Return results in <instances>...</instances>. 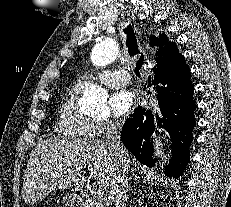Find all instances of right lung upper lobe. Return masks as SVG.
Returning <instances> with one entry per match:
<instances>
[{
  "label": "right lung upper lobe",
  "instance_id": "1",
  "mask_svg": "<svg viewBox=\"0 0 231 207\" xmlns=\"http://www.w3.org/2000/svg\"><path fill=\"white\" fill-rule=\"evenodd\" d=\"M151 45L157 46L159 49L156 56L163 57L165 60L169 58H178L182 56L178 53L177 46L173 42H168L165 34H160L159 37H150Z\"/></svg>",
  "mask_w": 231,
  "mask_h": 207
}]
</instances>
